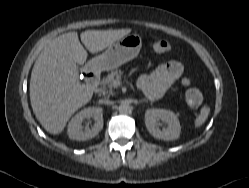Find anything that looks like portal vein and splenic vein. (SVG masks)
Returning <instances> with one entry per match:
<instances>
[{"mask_svg":"<svg viewBox=\"0 0 249 188\" xmlns=\"http://www.w3.org/2000/svg\"><path fill=\"white\" fill-rule=\"evenodd\" d=\"M113 85L115 86V87H118L119 85H120V81H114V83H113Z\"/></svg>","mask_w":249,"mask_h":188,"instance_id":"portal-vein-and-splenic-vein-1","label":"portal vein and splenic vein"}]
</instances>
